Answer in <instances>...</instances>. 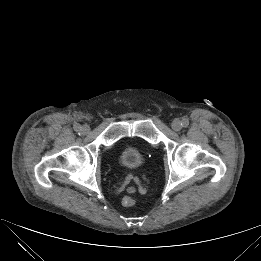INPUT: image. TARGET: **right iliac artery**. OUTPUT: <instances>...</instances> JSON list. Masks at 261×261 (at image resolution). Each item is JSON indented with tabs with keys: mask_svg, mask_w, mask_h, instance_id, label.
<instances>
[{
	"mask_svg": "<svg viewBox=\"0 0 261 261\" xmlns=\"http://www.w3.org/2000/svg\"><path fill=\"white\" fill-rule=\"evenodd\" d=\"M74 130L77 131V132L81 131V126L80 125H75L74 126Z\"/></svg>",
	"mask_w": 261,
	"mask_h": 261,
	"instance_id": "obj_1",
	"label": "right iliac artery"
}]
</instances>
